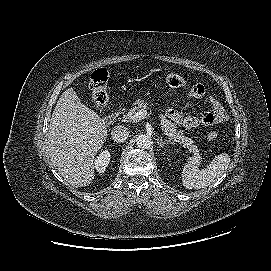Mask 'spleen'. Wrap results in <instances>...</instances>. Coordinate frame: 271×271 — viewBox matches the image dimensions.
I'll return each instance as SVG.
<instances>
[{"instance_id":"spleen-1","label":"spleen","mask_w":271,"mask_h":271,"mask_svg":"<svg viewBox=\"0 0 271 271\" xmlns=\"http://www.w3.org/2000/svg\"><path fill=\"white\" fill-rule=\"evenodd\" d=\"M230 156L226 153L216 156L207 167L199 169L192 159L182 169V183L187 189H201L214 183L227 170Z\"/></svg>"}]
</instances>
